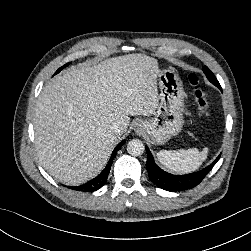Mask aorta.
I'll list each match as a JSON object with an SVG mask.
<instances>
[{"label":"aorta","mask_w":251,"mask_h":251,"mask_svg":"<svg viewBox=\"0 0 251 251\" xmlns=\"http://www.w3.org/2000/svg\"><path fill=\"white\" fill-rule=\"evenodd\" d=\"M145 150L144 144L139 139H133L127 144V151L132 156H139Z\"/></svg>","instance_id":"aorta-1"}]
</instances>
